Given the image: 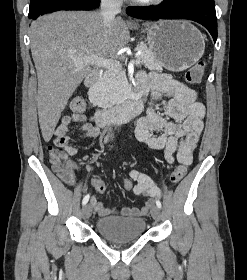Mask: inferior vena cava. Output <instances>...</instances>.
Wrapping results in <instances>:
<instances>
[{"label": "inferior vena cava", "mask_w": 247, "mask_h": 280, "mask_svg": "<svg viewBox=\"0 0 247 280\" xmlns=\"http://www.w3.org/2000/svg\"><path fill=\"white\" fill-rule=\"evenodd\" d=\"M121 12V0H101L100 15L106 27H110L115 15Z\"/></svg>", "instance_id": "obj_1"}]
</instances>
